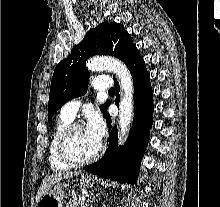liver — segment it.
Masks as SVG:
<instances>
[{
  "mask_svg": "<svg viewBox=\"0 0 220 207\" xmlns=\"http://www.w3.org/2000/svg\"><path fill=\"white\" fill-rule=\"evenodd\" d=\"M79 174H81V172H59L46 176L45 179L42 181L41 186L37 192L36 202H38L41 199V197L44 194H46L56 183L60 182L63 179L70 178L72 176H78Z\"/></svg>",
  "mask_w": 220,
  "mask_h": 207,
  "instance_id": "1",
  "label": "liver"
}]
</instances>
